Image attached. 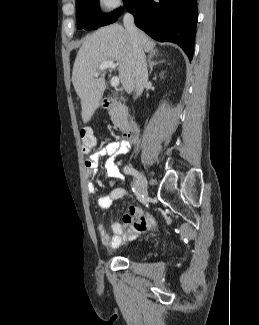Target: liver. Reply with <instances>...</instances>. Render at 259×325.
Here are the masks:
<instances>
[{
  "instance_id": "1",
  "label": "liver",
  "mask_w": 259,
  "mask_h": 325,
  "mask_svg": "<svg viewBox=\"0 0 259 325\" xmlns=\"http://www.w3.org/2000/svg\"><path fill=\"white\" fill-rule=\"evenodd\" d=\"M139 39L146 52L154 51V41L142 31H139ZM132 52L130 35L118 24L102 27L86 37L77 53L72 72V83L81 99L84 123L89 122L100 105L106 88L104 77L94 78L101 63L115 61L123 88L129 94L133 92L135 74Z\"/></svg>"
}]
</instances>
